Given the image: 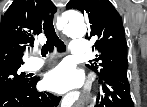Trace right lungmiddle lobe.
<instances>
[{
  "instance_id": "dd1d6c3e",
  "label": "right lung middle lobe",
  "mask_w": 147,
  "mask_h": 107,
  "mask_svg": "<svg viewBox=\"0 0 147 107\" xmlns=\"http://www.w3.org/2000/svg\"><path fill=\"white\" fill-rule=\"evenodd\" d=\"M20 67L21 65H13L0 69V93L27 85L32 80L24 72H20Z\"/></svg>"
}]
</instances>
